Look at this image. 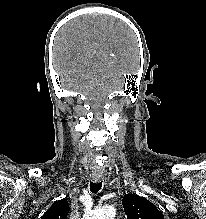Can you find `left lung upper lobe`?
Returning a JSON list of instances; mask_svg holds the SVG:
<instances>
[{"label":"left lung upper lobe","mask_w":206,"mask_h":219,"mask_svg":"<svg viewBox=\"0 0 206 219\" xmlns=\"http://www.w3.org/2000/svg\"><path fill=\"white\" fill-rule=\"evenodd\" d=\"M122 204L127 219H164L158 208L149 200L134 195H124Z\"/></svg>","instance_id":"5c2ea615"}]
</instances>
